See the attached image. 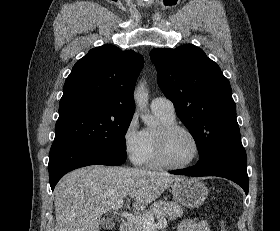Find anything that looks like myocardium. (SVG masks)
Wrapping results in <instances>:
<instances>
[{
  "instance_id": "f54148a6",
  "label": "myocardium",
  "mask_w": 280,
  "mask_h": 231,
  "mask_svg": "<svg viewBox=\"0 0 280 231\" xmlns=\"http://www.w3.org/2000/svg\"><path fill=\"white\" fill-rule=\"evenodd\" d=\"M177 131H183L189 134L193 138L196 144L195 157L190 162L184 164L174 163L169 159L166 152L165 141L167 137ZM155 145H156V157L158 162L162 166L172 168V169H184V168L191 167L198 162L202 154V144L197 134L191 128L177 123L163 124L160 131L155 135Z\"/></svg>"
}]
</instances>
